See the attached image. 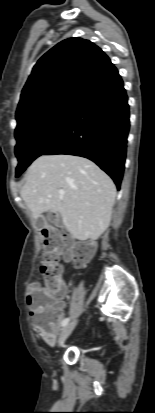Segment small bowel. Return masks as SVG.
<instances>
[{
  "instance_id": "obj_1",
  "label": "small bowel",
  "mask_w": 155,
  "mask_h": 413,
  "mask_svg": "<svg viewBox=\"0 0 155 413\" xmlns=\"http://www.w3.org/2000/svg\"><path fill=\"white\" fill-rule=\"evenodd\" d=\"M44 294L49 297L50 304L54 307V313L51 318L41 325L39 322V313L36 309V297ZM27 304L30 307V313L33 317V327L35 332L45 341L46 344L53 346L56 344L57 336H60V327L65 316L66 304L63 301H53L51 295L40 283H33L28 289Z\"/></svg>"
}]
</instances>
